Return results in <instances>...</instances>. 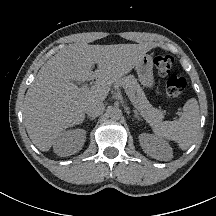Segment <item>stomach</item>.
Here are the masks:
<instances>
[{
	"label": "stomach",
	"mask_w": 216,
	"mask_h": 216,
	"mask_svg": "<svg viewBox=\"0 0 216 216\" xmlns=\"http://www.w3.org/2000/svg\"><path fill=\"white\" fill-rule=\"evenodd\" d=\"M139 82L146 88H152L155 84L153 76V58L151 55H144L135 67Z\"/></svg>",
	"instance_id": "1"
}]
</instances>
